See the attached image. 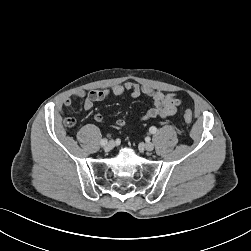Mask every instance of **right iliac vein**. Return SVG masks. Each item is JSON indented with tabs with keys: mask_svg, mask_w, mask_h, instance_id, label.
<instances>
[{
	"mask_svg": "<svg viewBox=\"0 0 251 251\" xmlns=\"http://www.w3.org/2000/svg\"><path fill=\"white\" fill-rule=\"evenodd\" d=\"M114 148V142L113 141H110V142H108L105 146H104V150L105 151H110V150H112Z\"/></svg>",
	"mask_w": 251,
	"mask_h": 251,
	"instance_id": "1",
	"label": "right iliac vein"
}]
</instances>
